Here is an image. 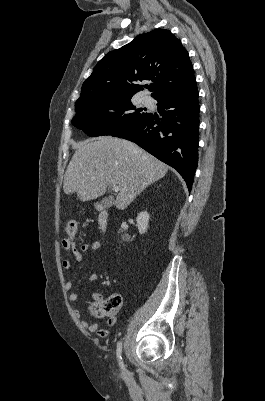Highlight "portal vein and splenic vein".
I'll list each match as a JSON object with an SVG mask.
<instances>
[{"label":"portal vein and splenic vein","mask_w":265,"mask_h":401,"mask_svg":"<svg viewBox=\"0 0 265 401\" xmlns=\"http://www.w3.org/2000/svg\"><path fill=\"white\" fill-rule=\"evenodd\" d=\"M113 190H115V192H118V190H120V186H114Z\"/></svg>","instance_id":"portal-vein-and-splenic-vein-1"}]
</instances>
